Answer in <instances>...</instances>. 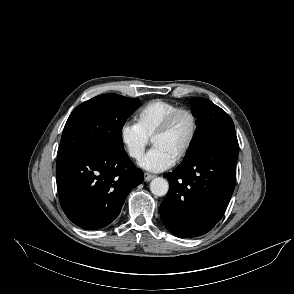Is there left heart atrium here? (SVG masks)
<instances>
[{
	"label": "left heart atrium",
	"mask_w": 294,
	"mask_h": 294,
	"mask_svg": "<svg viewBox=\"0 0 294 294\" xmlns=\"http://www.w3.org/2000/svg\"><path fill=\"white\" fill-rule=\"evenodd\" d=\"M176 158L159 147L151 149L140 162V166L151 172H162L169 169Z\"/></svg>",
	"instance_id": "left-heart-atrium-1"
}]
</instances>
